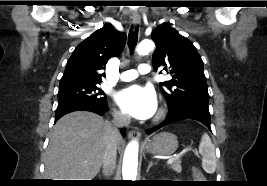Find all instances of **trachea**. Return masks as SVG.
I'll list each match as a JSON object with an SVG mask.
<instances>
[{
  "mask_svg": "<svg viewBox=\"0 0 267 186\" xmlns=\"http://www.w3.org/2000/svg\"><path fill=\"white\" fill-rule=\"evenodd\" d=\"M138 41V26L135 29H130L128 34V46L131 52L134 50Z\"/></svg>",
  "mask_w": 267,
  "mask_h": 186,
  "instance_id": "3493384b",
  "label": "trachea"
}]
</instances>
